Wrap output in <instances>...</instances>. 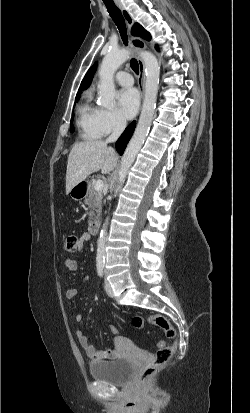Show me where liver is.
Returning a JSON list of instances; mask_svg holds the SVG:
<instances>
[{"label":"liver","instance_id":"obj_1","mask_svg":"<svg viewBox=\"0 0 250 413\" xmlns=\"http://www.w3.org/2000/svg\"><path fill=\"white\" fill-rule=\"evenodd\" d=\"M117 161L118 157L114 149L108 147L102 140H88L75 144L68 156L66 194L93 172L99 170L102 174L111 172Z\"/></svg>","mask_w":250,"mask_h":413}]
</instances>
